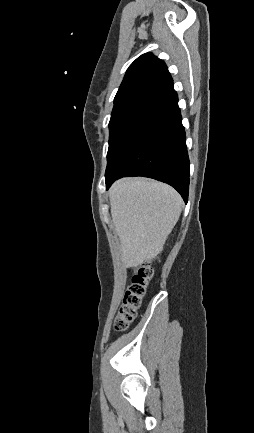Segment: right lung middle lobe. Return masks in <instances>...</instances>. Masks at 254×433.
<instances>
[{"mask_svg":"<svg viewBox=\"0 0 254 433\" xmlns=\"http://www.w3.org/2000/svg\"><path fill=\"white\" fill-rule=\"evenodd\" d=\"M142 105L143 103L131 102L116 105L113 107L111 119L109 122L110 138L107 160L117 146L118 140L125 124L132 116V114L136 112Z\"/></svg>","mask_w":254,"mask_h":433,"instance_id":"1","label":"right lung middle lobe"}]
</instances>
